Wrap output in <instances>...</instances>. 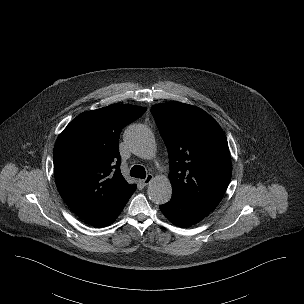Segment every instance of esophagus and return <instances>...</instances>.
Listing matches in <instances>:
<instances>
[{"instance_id": "34e87169", "label": "esophagus", "mask_w": 304, "mask_h": 304, "mask_svg": "<svg viewBox=\"0 0 304 304\" xmlns=\"http://www.w3.org/2000/svg\"><path fill=\"white\" fill-rule=\"evenodd\" d=\"M153 175L152 174H147V176H146V178H144L143 180H142V183L144 184V185H148V184H150L151 183V181L153 180Z\"/></svg>"}]
</instances>
